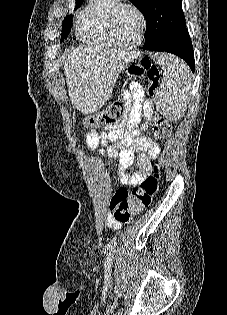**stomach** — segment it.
Masks as SVG:
<instances>
[{"instance_id":"stomach-1","label":"stomach","mask_w":227,"mask_h":315,"mask_svg":"<svg viewBox=\"0 0 227 315\" xmlns=\"http://www.w3.org/2000/svg\"><path fill=\"white\" fill-rule=\"evenodd\" d=\"M106 114H108V112H107V111H106V112H103V113H101V114L96 115V123H98L99 118H101V117H102V115H106ZM99 122H100V121H99Z\"/></svg>"}]
</instances>
